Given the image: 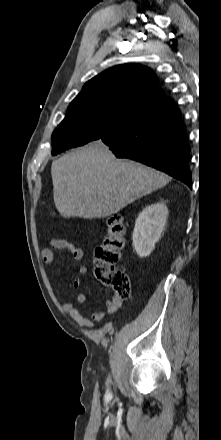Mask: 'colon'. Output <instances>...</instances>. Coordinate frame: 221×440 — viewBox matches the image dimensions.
I'll list each match as a JSON object with an SVG mask.
<instances>
[{"mask_svg": "<svg viewBox=\"0 0 221 440\" xmlns=\"http://www.w3.org/2000/svg\"><path fill=\"white\" fill-rule=\"evenodd\" d=\"M126 227L123 218L114 214L108 221V233L103 243L95 250V275L105 286L112 289L114 295L125 299L131 294L128 275L117 270L115 265L121 257Z\"/></svg>", "mask_w": 221, "mask_h": 440, "instance_id": "5ec220e1", "label": "colon"}]
</instances>
